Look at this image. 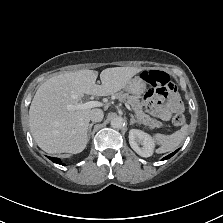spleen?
<instances>
[{"mask_svg": "<svg viewBox=\"0 0 223 223\" xmlns=\"http://www.w3.org/2000/svg\"><path fill=\"white\" fill-rule=\"evenodd\" d=\"M188 125H184L180 130L172 135L156 134L155 139L161 147L156 150L157 153H166L175 150L186 136Z\"/></svg>", "mask_w": 223, "mask_h": 223, "instance_id": "obj_1", "label": "spleen"}]
</instances>
